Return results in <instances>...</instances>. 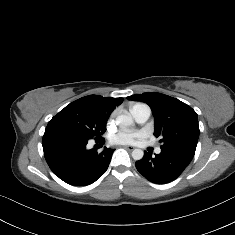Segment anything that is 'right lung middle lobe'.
I'll return each mask as SVG.
<instances>
[{"label":"right lung middle lobe","instance_id":"1","mask_svg":"<svg viewBox=\"0 0 235 235\" xmlns=\"http://www.w3.org/2000/svg\"><path fill=\"white\" fill-rule=\"evenodd\" d=\"M109 115L90 108H72L55 116L53 123L90 140H102Z\"/></svg>","mask_w":235,"mask_h":235}]
</instances>
